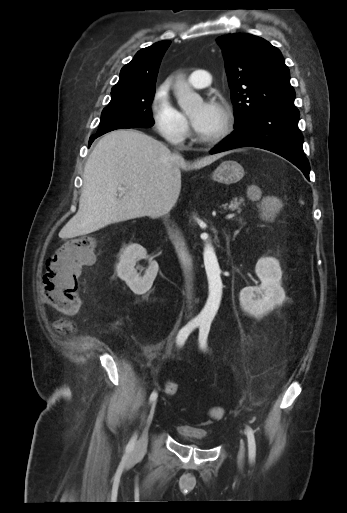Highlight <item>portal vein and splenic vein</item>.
I'll list each match as a JSON object with an SVG mask.
<instances>
[{"mask_svg": "<svg viewBox=\"0 0 347 513\" xmlns=\"http://www.w3.org/2000/svg\"><path fill=\"white\" fill-rule=\"evenodd\" d=\"M118 190H119L120 192H124V191L126 190V188H124V187H118ZM231 217H232L231 215H227V216H226V219H230Z\"/></svg>", "mask_w": 347, "mask_h": 513, "instance_id": "18ae733b", "label": "portal vein and splenic vein"}]
</instances>
